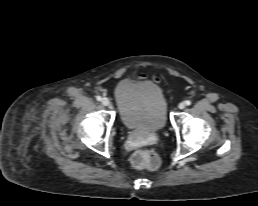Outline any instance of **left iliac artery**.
I'll use <instances>...</instances> for the list:
<instances>
[{
    "mask_svg": "<svg viewBox=\"0 0 258 206\" xmlns=\"http://www.w3.org/2000/svg\"><path fill=\"white\" fill-rule=\"evenodd\" d=\"M185 104L189 106V105H191V101L187 100V101H185Z\"/></svg>",
    "mask_w": 258,
    "mask_h": 206,
    "instance_id": "44dca946",
    "label": "left iliac artery"
}]
</instances>
